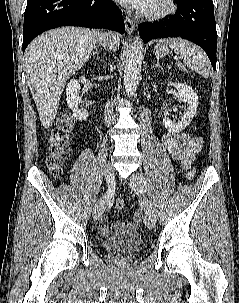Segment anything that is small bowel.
Here are the masks:
<instances>
[{"mask_svg": "<svg viewBox=\"0 0 239 303\" xmlns=\"http://www.w3.org/2000/svg\"><path fill=\"white\" fill-rule=\"evenodd\" d=\"M162 144L170 156L180 162L182 170L186 172V179L194 176L193 163L195 156L202 149V139L190 133H166L162 136ZM135 218L139 217L136 215ZM99 233L108 237L119 231L133 232L137 229L139 222L123 221L114 226L108 223L106 217L100 219Z\"/></svg>", "mask_w": 239, "mask_h": 303, "instance_id": "c3829d8e", "label": "small bowel"}]
</instances>
